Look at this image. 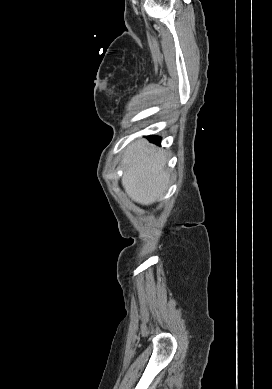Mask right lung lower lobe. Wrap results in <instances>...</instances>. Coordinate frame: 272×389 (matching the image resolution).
Here are the masks:
<instances>
[{
    "instance_id": "right-lung-lower-lobe-1",
    "label": "right lung lower lobe",
    "mask_w": 272,
    "mask_h": 389,
    "mask_svg": "<svg viewBox=\"0 0 272 389\" xmlns=\"http://www.w3.org/2000/svg\"><path fill=\"white\" fill-rule=\"evenodd\" d=\"M161 141V138L159 136H152L151 142L159 144Z\"/></svg>"
}]
</instances>
